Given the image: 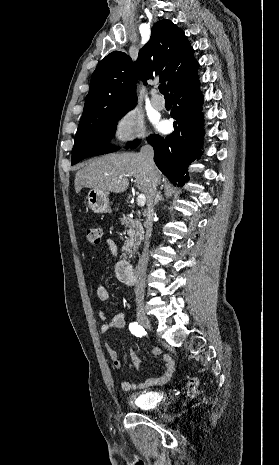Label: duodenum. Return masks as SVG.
I'll return each mask as SVG.
<instances>
[{
    "mask_svg": "<svg viewBox=\"0 0 279 465\" xmlns=\"http://www.w3.org/2000/svg\"><path fill=\"white\" fill-rule=\"evenodd\" d=\"M118 278L126 285L132 286L135 284V275L131 265L123 260L117 267Z\"/></svg>",
    "mask_w": 279,
    "mask_h": 465,
    "instance_id": "410a0bca",
    "label": "duodenum"
}]
</instances>
